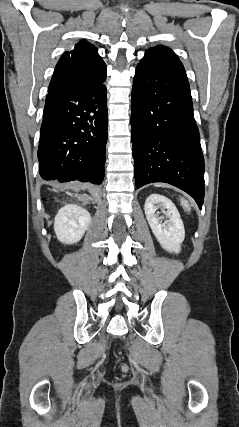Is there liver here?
Segmentation results:
<instances>
[{"instance_id":"obj_1","label":"liver","mask_w":239,"mask_h":427,"mask_svg":"<svg viewBox=\"0 0 239 427\" xmlns=\"http://www.w3.org/2000/svg\"><path fill=\"white\" fill-rule=\"evenodd\" d=\"M73 190H75L76 192L79 191V188L77 185H74L73 187H71Z\"/></svg>"}]
</instances>
